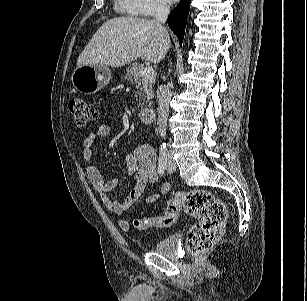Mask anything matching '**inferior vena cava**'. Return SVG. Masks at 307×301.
<instances>
[{
	"instance_id": "602c4592",
	"label": "inferior vena cava",
	"mask_w": 307,
	"mask_h": 301,
	"mask_svg": "<svg viewBox=\"0 0 307 301\" xmlns=\"http://www.w3.org/2000/svg\"><path fill=\"white\" fill-rule=\"evenodd\" d=\"M169 13H170V6L167 3H160L157 7L155 20L158 23L164 24L167 20ZM164 29H165V33L168 35V32L165 27ZM170 97H171V92L168 87H166L165 85L158 86V89H157V101H158L157 126H158L159 134L164 138L166 135V125H167V118L169 114Z\"/></svg>"
}]
</instances>
